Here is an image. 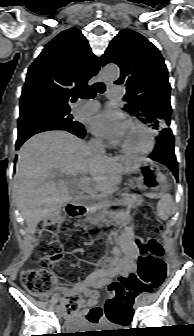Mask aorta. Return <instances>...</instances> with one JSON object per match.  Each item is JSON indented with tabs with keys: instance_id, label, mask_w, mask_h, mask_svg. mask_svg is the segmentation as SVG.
<instances>
[{
	"instance_id": "aorta-1",
	"label": "aorta",
	"mask_w": 194,
	"mask_h": 336,
	"mask_svg": "<svg viewBox=\"0 0 194 336\" xmlns=\"http://www.w3.org/2000/svg\"><path fill=\"white\" fill-rule=\"evenodd\" d=\"M102 74L106 79L109 80H115L119 77V68L117 65H106L103 70H102Z\"/></svg>"
}]
</instances>
